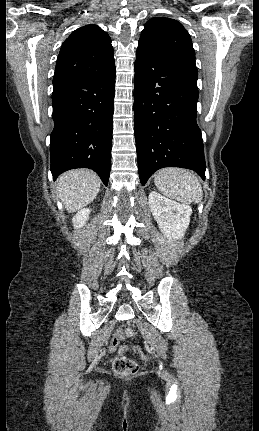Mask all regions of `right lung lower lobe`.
I'll return each mask as SVG.
<instances>
[{
    "label": "right lung lower lobe",
    "instance_id": "obj_1",
    "mask_svg": "<svg viewBox=\"0 0 259 431\" xmlns=\"http://www.w3.org/2000/svg\"><path fill=\"white\" fill-rule=\"evenodd\" d=\"M115 67L53 84L50 135L54 180L73 168H90L108 185L113 132Z\"/></svg>",
    "mask_w": 259,
    "mask_h": 431
}]
</instances>
